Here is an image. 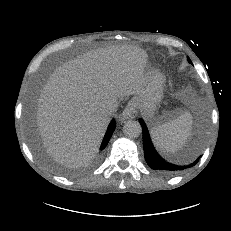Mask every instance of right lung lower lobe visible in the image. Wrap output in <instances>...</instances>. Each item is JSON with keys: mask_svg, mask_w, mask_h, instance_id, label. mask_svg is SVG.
<instances>
[{"mask_svg": "<svg viewBox=\"0 0 231 231\" xmlns=\"http://www.w3.org/2000/svg\"><path fill=\"white\" fill-rule=\"evenodd\" d=\"M115 127H116L115 121L112 120L108 129H107V132L105 134L103 142L101 144V147H100L101 150H103L106 147V145L108 144V142H109V140H110V138H111V136L115 130Z\"/></svg>", "mask_w": 231, "mask_h": 231, "instance_id": "obj_1", "label": "right lung lower lobe"}]
</instances>
